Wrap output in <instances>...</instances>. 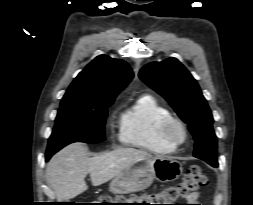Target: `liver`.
Returning <instances> with one entry per match:
<instances>
[{
    "mask_svg": "<svg viewBox=\"0 0 253 205\" xmlns=\"http://www.w3.org/2000/svg\"><path fill=\"white\" fill-rule=\"evenodd\" d=\"M83 143H72L48 162L46 177L57 200H69L88 189L85 177L90 174L92 185L99 186L119 175L132 162L152 157L144 150L119 148L90 158Z\"/></svg>",
    "mask_w": 253,
    "mask_h": 205,
    "instance_id": "obj_1",
    "label": "liver"
}]
</instances>
